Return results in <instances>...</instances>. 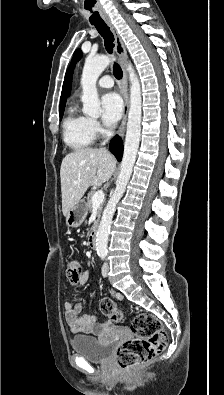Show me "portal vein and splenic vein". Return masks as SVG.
Segmentation results:
<instances>
[{
    "label": "portal vein and splenic vein",
    "mask_w": 224,
    "mask_h": 395,
    "mask_svg": "<svg viewBox=\"0 0 224 395\" xmlns=\"http://www.w3.org/2000/svg\"><path fill=\"white\" fill-rule=\"evenodd\" d=\"M105 198V194L102 190H98L95 192V194L92 197V205L93 207L95 206H100Z\"/></svg>",
    "instance_id": "obj_1"
}]
</instances>
